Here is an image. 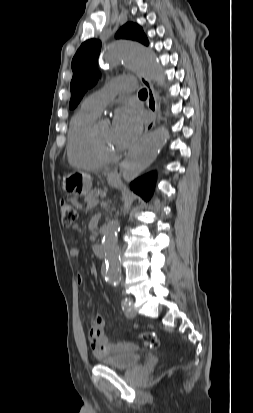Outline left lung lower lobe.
<instances>
[{
  "label": "left lung lower lobe",
  "instance_id": "1",
  "mask_svg": "<svg viewBox=\"0 0 253 413\" xmlns=\"http://www.w3.org/2000/svg\"><path fill=\"white\" fill-rule=\"evenodd\" d=\"M155 173H149L131 183V189L143 199L148 200L155 186Z\"/></svg>",
  "mask_w": 253,
  "mask_h": 413
}]
</instances>
